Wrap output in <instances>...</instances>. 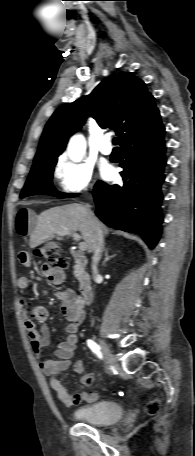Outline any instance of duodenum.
<instances>
[{
    "label": "duodenum",
    "instance_id": "obj_1",
    "mask_svg": "<svg viewBox=\"0 0 195 456\" xmlns=\"http://www.w3.org/2000/svg\"><path fill=\"white\" fill-rule=\"evenodd\" d=\"M72 257L78 268H83L87 263L86 257L78 252H72ZM80 293L82 301L85 304L90 303L92 299V285L90 279L87 276H82L80 279Z\"/></svg>",
    "mask_w": 195,
    "mask_h": 456
}]
</instances>
